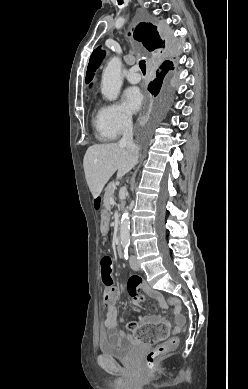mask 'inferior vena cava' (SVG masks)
Here are the masks:
<instances>
[{
    "instance_id": "obj_1",
    "label": "inferior vena cava",
    "mask_w": 248,
    "mask_h": 389,
    "mask_svg": "<svg viewBox=\"0 0 248 389\" xmlns=\"http://www.w3.org/2000/svg\"><path fill=\"white\" fill-rule=\"evenodd\" d=\"M119 145L127 148L134 157L138 158L139 149L133 142V125L131 118H126L124 121L123 136L119 141Z\"/></svg>"
}]
</instances>
